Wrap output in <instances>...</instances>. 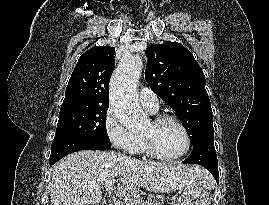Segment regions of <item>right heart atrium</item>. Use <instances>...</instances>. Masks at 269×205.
<instances>
[{
  "label": "right heart atrium",
  "instance_id": "d8ad5b80",
  "mask_svg": "<svg viewBox=\"0 0 269 205\" xmlns=\"http://www.w3.org/2000/svg\"><path fill=\"white\" fill-rule=\"evenodd\" d=\"M104 130L112 145L123 151H131L137 141V135L123 126L112 107H109L104 116Z\"/></svg>",
  "mask_w": 269,
  "mask_h": 205
}]
</instances>
